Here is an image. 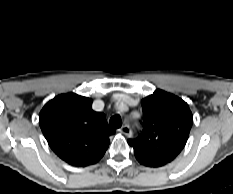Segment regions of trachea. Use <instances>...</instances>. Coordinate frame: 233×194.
Returning a JSON list of instances; mask_svg holds the SVG:
<instances>
[{"label": "trachea", "instance_id": "trachea-1", "mask_svg": "<svg viewBox=\"0 0 233 194\" xmlns=\"http://www.w3.org/2000/svg\"><path fill=\"white\" fill-rule=\"evenodd\" d=\"M110 127L112 129H118L122 125V121L119 115L113 116L109 121Z\"/></svg>", "mask_w": 233, "mask_h": 194}]
</instances>
